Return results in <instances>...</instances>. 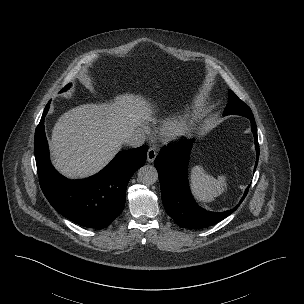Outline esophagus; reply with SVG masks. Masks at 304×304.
Returning <instances> with one entry per match:
<instances>
[{"label": "esophagus", "mask_w": 304, "mask_h": 304, "mask_svg": "<svg viewBox=\"0 0 304 304\" xmlns=\"http://www.w3.org/2000/svg\"><path fill=\"white\" fill-rule=\"evenodd\" d=\"M157 156V152L154 148H149L147 152V161L152 163Z\"/></svg>", "instance_id": "34e87169"}]
</instances>
